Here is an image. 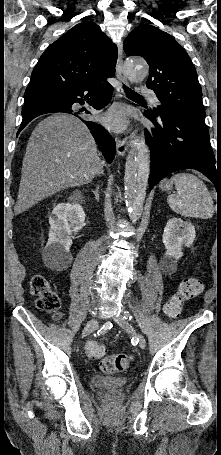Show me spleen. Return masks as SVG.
Instances as JSON below:
<instances>
[{
  "label": "spleen",
  "mask_w": 221,
  "mask_h": 455,
  "mask_svg": "<svg viewBox=\"0 0 221 455\" xmlns=\"http://www.w3.org/2000/svg\"><path fill=\"white\" fill-rule=\"evenodd\" d=\"M178 194L167 198L170 208L184 217L207 219L213 216L214 204L206 185L190 173H177L172 176Z\"/></svg>",
  "instance_id": "obj_1"
}]
</instances>
